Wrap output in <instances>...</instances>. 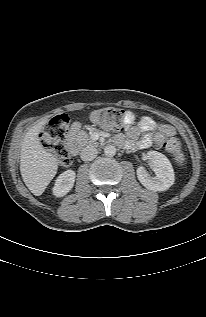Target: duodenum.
Instances as JSON below:
<instances>
[{"label": "duodenum", "instance_id": "duodenum-1", "mask_svg": "<svg viewBox=\"0 0 206 317\" xmlns=\"http://www.w3.org/2000/svg\"><path fill=\"white\" fill-rule=\"evenodd\" d=\"M81 130V127L79 124L74 123L71 125V127L68 128L67 133L69 135L67 139V147L72 155H76L78 153V147L77 142L78 139L76 137L77 133H79Z\"/></svg>", "mask_w": 206, "mask_h": 317}]
</instances>
